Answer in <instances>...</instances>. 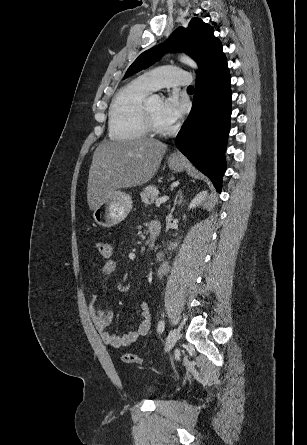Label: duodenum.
Returning a JSON list of instances; mask_svg holds the SVG:
<instances>
[{"label": "duodenum", "mask_w": 307, "mask_h": 445, "mask_svg": "<svg viewBox=\"0 0 307 445\" xmlns=\"http://www.w3.org/2000/svg\"><path fill=\"white\" fill-rule=\"evenodd\" d=\"M160 230L157 228H151L150 229V235H149V239L147 242V247L148 249H152L155 245V242L159 236Z\"/></svg>", "instance_id": "duodenum-1"}]
</instances>
